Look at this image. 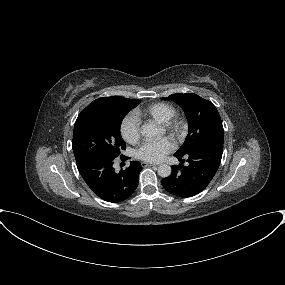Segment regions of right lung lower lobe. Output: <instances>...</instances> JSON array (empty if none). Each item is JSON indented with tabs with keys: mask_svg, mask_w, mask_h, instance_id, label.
Returning <instances> with one entry per match:
<instances>
[{
	"mask_svg": "<svg viewBox=\"0 0 285 285\" xmlns=\"http://www.w3.org/2000/svg\"><path fill=\"white\" fill-rule=\"evenodd\" d=\"M77 168L89 188L101 199L117 203L129 198L138 186L142 166L132 161L128 168L116 173L114 159L86 156L76 159Z\"/></svg>",
	"mask_w": 285,
	"mask_h": 285,
	"instance_id": "1",
	"label": "right lung lower lobe"
}]
</instances>
